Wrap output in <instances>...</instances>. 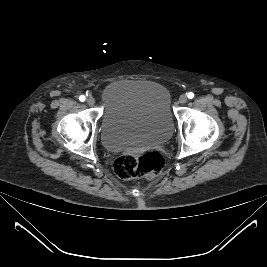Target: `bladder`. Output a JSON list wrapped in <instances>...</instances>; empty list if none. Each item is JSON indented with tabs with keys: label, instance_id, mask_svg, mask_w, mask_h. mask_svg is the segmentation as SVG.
Wrapping results in <instances>:
<instances>
[{
	"label": "bladder",
	"instance_id": "31cf9c89",
	"mask_svg": "<svg viewBox=\"0 0 267 267\" xmlns=\"http://www.w3.org/2000/svg\"><path fill=\"white\" fill-rule=\"evenodd\" d=\"M101 140L110 151L169 140L173 113L168 89L149 80H117L101 94Z\"/></svg>",
	"mask_w": 267,
	"mask_h": 267
}]
</instances>
